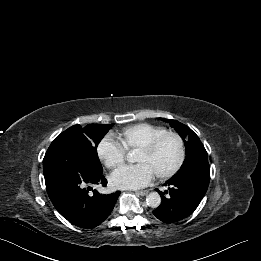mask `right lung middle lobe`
I'll list each match as a JSON object with an SVG mask.
<instances>
[{
    "label": "right lung middle lobe",
    "instance_id": "1",
    "mask_svg": "<svg viewBox=\"0 0 261 261\" xmlns=\"http://www.w3.org/2000/svg\"><path fill=\"white\" fill-rule=\"evenodd\" d=\"M113 124H90L85 128L74 125L61 133L48 148L43 167H59L69 161L71 154L75 153L76 146L83 152L88 168L103 172L97 155V146L102 137Z\"/></svg>",
    "mask_w": 261,
    "mask_h": 261
}]
</instances>
